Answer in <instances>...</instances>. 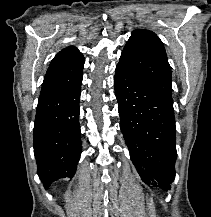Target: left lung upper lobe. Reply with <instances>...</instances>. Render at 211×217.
Wrapping results in <instances>:
<instances>
[{
  "mask_svg": "<svg viewBox=\"0 0 211 217\" xmlns=\"http://www.w3.org/2000/svg\"><path fill=\"white\" fill-rule=\"evenodd\" d=\"M118 64L146 82L163 98L173 102L171 67L164 45L154 32L134 30Z\"/></svg>",
  "mask_w": 211,
  "mask_h": 217,
  "instance_id": "1",
  "label": "left lung upper lobe"
}]
</instances>
